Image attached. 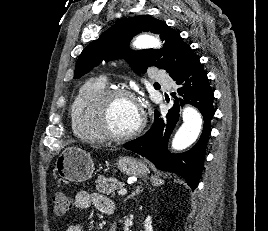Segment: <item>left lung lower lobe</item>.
<instances>
[{"label":"left lung lower lobe","mask_w":268,"mask_h":231,"mask_svg":"<svg viewBox=\"0 0 268 231\" xmlns=\"http://www.w3.org/2000/svg\"><path fill=\"white\" fill-rule=\"evenodd\" d=\"M171 78L178 85L177 92L174 94L173 107L162 118H159V112H157L156 120L148 132L123 146L146 157L158 169L175 172L182 176L194 190L199 182L204 164L210 124L214 114V95L198 57L194 58L184 71ZM176 94L179 97H176ZM184 104H192L199 109L203 115L204 127L195 146L187 152L172 154L166 147L169 136L179 120L180 107Z\"/></svg>","instance_id":"1"}]
</instances>
